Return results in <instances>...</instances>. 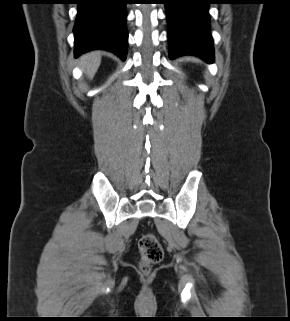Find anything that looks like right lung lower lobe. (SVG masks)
<instances>
[{
  "label": "right lung lower lobe",
  "instance_id": "obj_1",
  "mask_svg": "<svg viewBox=\"0 0 290 321\" xmlns=\"http://www.w3.org/2000/svg\"><path fill=\"white\" fill-rule=\"evenodd\" d=\"M125 0H78L74 26L75 57L95 50L111 51L125 60L128 44Z\"/></svg>",
  "mask_w": 290,
  "mask_h": 321
}]
</instances>
